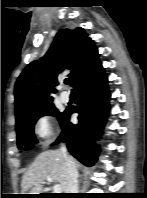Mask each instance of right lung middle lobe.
<instances>
[{"label": "right lung middle lobe", "instance_id": "right-lung-middle-lobe-1", "mask_svg": "<svg viewBox=\"0 0 147 198\" xmlns=\"http://www.w3.org/2000/svg\"><path fill=\"white\" fill-rule=\"evenodd\" d=\"M45 115L57 116L61 125H63L66 119L67 110L63 113H59L54 105L50 104L25 116L23 119L17 122V146L20 150H29L35 143H37L34 135V124L40 117Z\"/></svg>", "mask_w": 147, "mask_h": 198}]
</instances>
